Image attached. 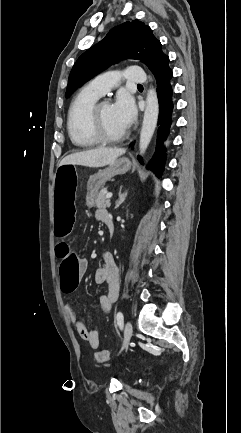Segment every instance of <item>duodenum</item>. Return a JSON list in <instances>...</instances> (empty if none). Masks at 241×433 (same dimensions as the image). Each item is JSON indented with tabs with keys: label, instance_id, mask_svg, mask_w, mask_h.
<instances>
[{
	"label": "duodenum",
	"instance_id": "duodenum-1",
	"mask_svg": "<svg viewBox=\"0 0 241 433\" xmlns=\"http://www.w3.org/2000/svg\"><path fill=\"white\" fill-rule=\"evenodd\" d=\"M103 222L107 226L109 233L112 234L113 233V229H114V223H113L112 217L110 215L109 216H105L104 219H103Z\"/></svg>",
	"mask_w": 241,
	"mask_h": 433
}]
</instances>
